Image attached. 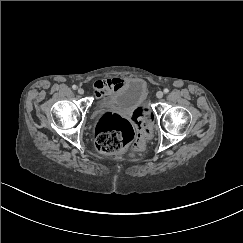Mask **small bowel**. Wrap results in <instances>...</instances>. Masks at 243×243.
<instances>
[{
    "mask_svg": "<svg viewBox=\"0 0 243 243\" xmlns=\"http://www.w3.org/2000/svg\"><path fill=\"white\" fill-rule=\"evenodd\" d=\"M123 82L124 80L121 78L97 80L93 85L94 93L98 98L105 97L118 89L123 84Z\"/></svg>",
    "mask_w": 243,
    "mask_h": 243,
    "instance_id": "c3829d8e",
    "label": "small bowel"
}]
</instances>
